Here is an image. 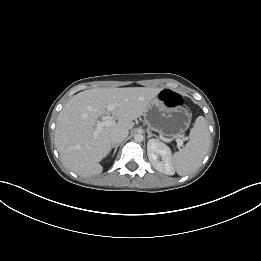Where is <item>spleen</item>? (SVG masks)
<instances>
[{
	"instance_id": "3e777b00",
	"label": "spleen",
	"mask_w": 261,
	"mask_h": 261,
	"mask_svg": "<svg viewBox=\"0 0 261 261\" xmlns=\"http://www.w3.org/2000/svg\"><path fill=\"white\" fill-rule=\"evenodd\" d=\"M209 144L208 124L203 116H199L190 132L189 141L172 157V164L177 174L184 176L195 172L207 154Z\"/></svg>"
}]
</instances>
